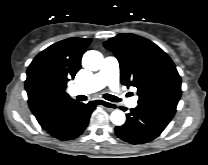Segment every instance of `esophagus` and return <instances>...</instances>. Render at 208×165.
I'll return each instance as SVG.
<instances>
[{
	"instance_id": "obj_1",
	"label": "esophagus",
	"mask_w": 208,
	"mask_h": 165,
	"mask_svg": "<svg viewBox=\"0 0 208 165\" xmlns=\"http://www.w3.org/2000/svg\"><path fill=\"white\" fill-rule=\"evenodd\" d=\"M95 102L97 105L104 107L106 109L115 110L117 108L116 104L103 99H97Z\"/></svg>"
}]
</instances>
